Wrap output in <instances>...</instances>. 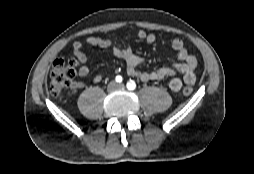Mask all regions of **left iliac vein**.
Segmentation results:
<instances>
[{
  "label": "left iliac vein",
  "instance_id": "1",
  "mask_svg": "<svg viewBox=\"0 0 254 174\" xmlns=\"http://www.w3.org/2000/svg\"><path fill=\"white\" fill-rule=\"evenodd\" d=\"M119 87H120V88H123V87H124V85H123V84H119Z\"/></svg>",
  "mask_w": 254,
  "mask_h": 174
}]
</instances>
